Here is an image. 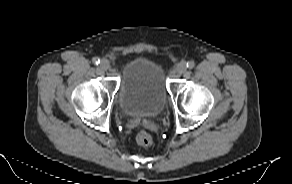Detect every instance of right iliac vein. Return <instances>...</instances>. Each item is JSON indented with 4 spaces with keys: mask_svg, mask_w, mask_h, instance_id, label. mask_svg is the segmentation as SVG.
Returning a JSON list of instances; mask_svg holds the SVG:
<instances>
[{
    "mask_svg": "<svg viewBox=\"0 0 292 184\" xmlns=\"http://www.w3.org/2000/svg\"><path fill=\"white\" fill-rule=\"evenodd\" d=\"M100 67H101V69H103V70H107V69H109V67H110V63H109V61L106 60V59H102L101 62H100Z\"/></svg>",
    "mask_w": 292,
    "mask_h": 184,
    "instance_id": "obj_1",
    "label": "right iliac vein"
}]
</instances>
